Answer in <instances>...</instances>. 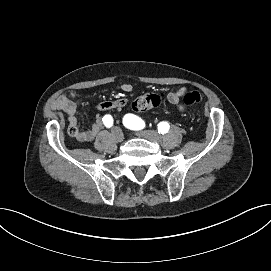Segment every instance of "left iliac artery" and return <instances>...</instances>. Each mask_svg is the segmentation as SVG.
I'll list each match as a JSON object with an SVG mask.
<instances>
[{
  "label": "left iliac artery",
  "mask_w": 271,
  "mask_h": 271,
  "mask_svg": "<svg viewBox=\"0 0 271 271\" xmlns=\"http://www.w3.org/2000/svg\"><path fill=\"white\" fill-rule=\"evenodd\" d=\"M123 124L125 127L131 130H141L145 126L144 121L138 116L133 115V114L125 115L123 118ZM169 127L170 126L167 122H164V121L160 122L158 124V132L168 133Z\"/></svg>",
  "instance_id": "44dca946"
}]
</instances>
